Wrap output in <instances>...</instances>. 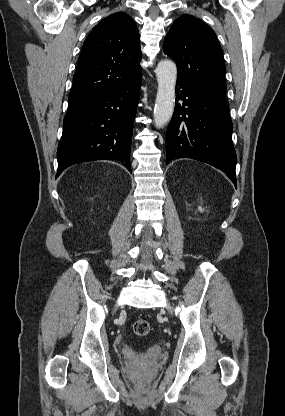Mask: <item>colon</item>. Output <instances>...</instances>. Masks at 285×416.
Listing matches in <instances>:
<instances>
[{"label": "colon", "instance_id": "5ec220e1", "mask_svg": "<svg viewBox=\"0 0 285 416\" xmlns=\"http://www.w3.org/2000/svg\"><path fill=\"white\" fill-rule=\"evenodd\" d=\"M132 329L135 335L145 336L150 331V324L146 320L138 319L133 323ZM135 386L139 400L143 403L147 402L150 398L151 383L147 379L138 378L135 381Z\"/></svg>", "mask_w": 285, "mask_h": 416}]
</instances>
